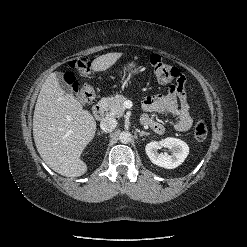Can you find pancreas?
I'll use <instances>...</instances> for the list:
<instances>
[{
  "label": "pancreas",
  "mask_w": 247,
  "mask_h": 247,
  "mask_svg": "<svg viewBox=\"0 0 247 247\" xmlns=\"http://www.w3.org/2000/svg\"><path fill=\"white\" fill-rule=\"evenodd\" d=\"M126 98L123 95L116 94L112 97L102 98L100 104L107 111L108 115L119 118L125 111L124 102Z\"/></svg>",
  "instance_id": "obj_1"
}]
</instances>
